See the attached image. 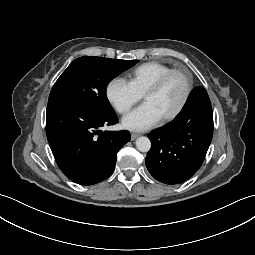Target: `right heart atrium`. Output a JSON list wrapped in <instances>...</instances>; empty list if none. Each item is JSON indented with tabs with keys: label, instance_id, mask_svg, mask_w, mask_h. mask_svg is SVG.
Here are the masks:
<instances>
[{
	"label": "right heart atrium",
	"instance_id": "1",
	"mask_svg": "<svg viewBox=\"0 0 255 255\" xmlns=\"http://www.w3.org/2000/svg\"><path fill=\"white\" fill-rule=\"evenodd\" d=\"M105 95L111 106L120 114L127 113L141 95L122 78H112L106 85Z\"/></svg>",
	"mask_w": 255,
	"mask_h": 255
}]
</instances>
